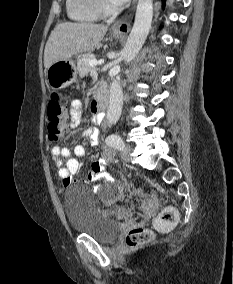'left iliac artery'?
I'll list each match as a JSON object with an SVG mask.
<instances>
[{"label": "left iliac artery", "mask_w": 233, "mask_h": 284, "mask_svg": "<svg viewBox=\"0 0 233 284\" xmlns=\"http://www.w3.org/2000/svg\"><path fill=\"white\" fill-rule=\"evenodd\" d=\"M106 144L115 148V149H122L124 147V143L120 136L118 135H110L106 138Z\"/></svg>", "instance_id": "1"}]
</instances>
